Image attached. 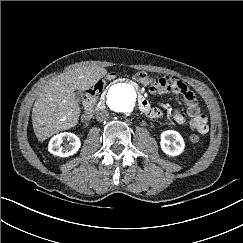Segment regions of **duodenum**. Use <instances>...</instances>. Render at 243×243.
Masks as SVG:
<instances>
[{"instance_id": "410a0bca", "label": "duodenum", "mask_w": 243, "mask_h": 243, "mask_svg": "<svg viewBox=\"0 0 243 243\" xmlns=\"http://www.w3.org/2000/svg\"><path fill=\"white\" fill-rule=\"evenodd\" d=\"M138 104H139L140 110L143 113L148 114L151 111V107H150L148 101L141 94H138ZM104 108H105V98L102 97L99 100V102L97 103L96 109L97 110H102Z\"/></svg>"}]
</instances>
